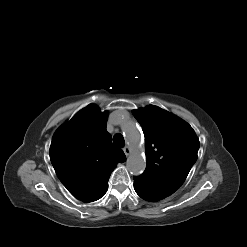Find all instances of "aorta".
I'll return each mask as SVG.
<instances>
[{
  "label": "aorta",
  "mask_w": 247,
  "mask_h": 247,
  "mask_svg": "<svg viewBox=\"0 0 247 247\" xmlns=\"http://www.w3.org/2000/svg\"><path fill=\"white\" fill-rule=\"evenodd\" d=\"M121 127L126 141L132 150L127 160V168L132 174L139 175L146 167L142 136L135 121L127 116L121 117Z\"/></svg>",
  "instance_id": "1"
}]
</instances>
